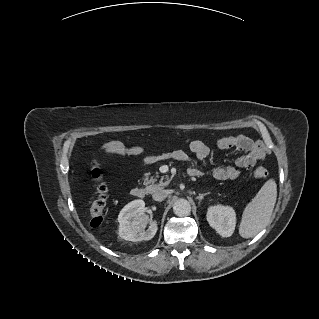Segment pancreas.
Returning <instances> with one entry per match:
<instances>
[{
  "instance_id": "1",
  "label": "pancreas",
  "mask_w": 319,
  "mask_h": 319,
  "mask_svg": "<svg viewBox=\"0 0 319 319\" xmlns=\"http://www.w3.org/2000/svg\"><path fill=\"white\" fill-rule=\"evenodd\" d=\"M166 179V178H165ZM155 177H150V178H146L145 181H144V184L146 185V191L148 193H154L156 192L157 190H160V189H163L165 188L169 181L166 179V181H161L160 183L158 184H155Z\"/></svg>"
}]
</instances>
